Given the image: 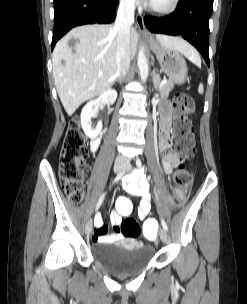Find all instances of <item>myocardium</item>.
Here are the masks:
<instances>
[{"mask_svg": "<svg viewBox=\"0 0 247 304\" xmlns=\"http://www.w3.org/2000/svg\"><path fill=\"white\" fill-rule=\"evenodd\" d=\"M179 4V0H170L169 4L165 8H156L150 3L146 6L147 10L153 15L165 17L175 12Z\"/></svg>", "mask_w": 247, "mask_h": 304, "instance_id": "obj_1", "label": "myocardium"}]
</instances>
